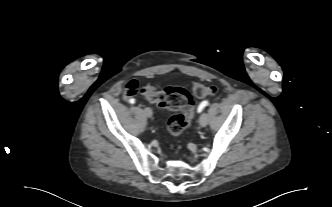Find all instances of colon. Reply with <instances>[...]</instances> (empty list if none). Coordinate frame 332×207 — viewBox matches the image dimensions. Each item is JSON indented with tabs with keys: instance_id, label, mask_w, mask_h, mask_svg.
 <instances>
[{
	"instance_id": "colon-1",
	"label": "colon",
	"mask_w": 332,
	"mask_h": 207,
	"mask_svg": "<svg viewBox=\"0 0 332 207\" xmlns=\"http://www.w3.org/2000/svg\"><path fill=\"white\" fill-rule=\"evenodd\" d=\"M192 91L197 98H203L215 95L217 88L196 83ZM138 93L161 108L178 111L168 122V130L172 136L180 135L189 126L194 113V102L187 90L179 87H169L164 90H157L152 86L139 88L137 81H130L126 85L125 96L131 97Z\"/></svg>"
}]
</instances>
